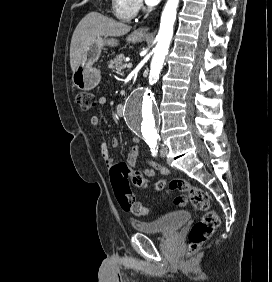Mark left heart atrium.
<instances>
[{
	"mask_svg": "<svg viewBox=\"0 0 272 282\" xmlns=\"http://www.w3.org/2000/svg\"><path fill=\"white\" fill-rule=\"evenodd\" d=\"M159 1L160 0H145V3L149 6H155Z\"/></svg>",
	"mask_w": 272,
	"mask_h": 282,
	"instance_id": "left-heart-atrium-1",
	"label": "left heart atrium"
}]
</instances>
